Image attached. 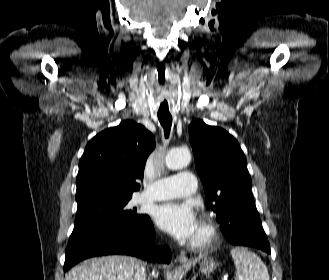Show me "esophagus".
Masks as SVG:
<instances>
[{
	"label": "esophagus",
	"instance_id": "34e87169",
	"mask_svg": "<svg viewBox=\"0 0 329 280\" xmlns=\"http://www.w3.org/2000/svg\"><path fill=\"white\" fill-rule=\"evenodd\" d=\"M177 260L179 263L183 264V265H186L188 263H190V259L184 255V254H181L177 257Z\"/></svg>",
	"mask_w": 329,
	"mask_h": 280
}]
</instances>
